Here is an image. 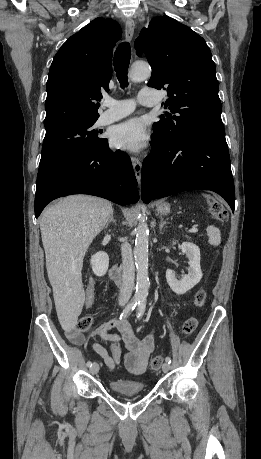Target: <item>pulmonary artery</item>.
<instances>
[{
  "label": "pulmonary artery",
  "mask_w": 261,
  "mask_h": 459,
  "mask_svg": "<svg viewBox=\"0 0 261 459\" xmlns=\"http://www.w3.org/2000/svg\"><path fill=\"white\" fill-rule=\"evenodd\" d=\"M138 102L142 105L152 106L157 103V96L154 90L143 88L139 92ZM136 102L132 99L116 100L106 99L103 106L106 110L99 117V124L107 125L118 121L133 112Z\"/></svg>",
  "instance_id": "e3ab8cb5"
}]
</instances>
